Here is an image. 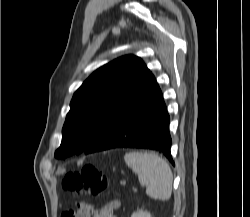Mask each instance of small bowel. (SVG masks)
<instances>
[{
    "label": "small bowel",
    "mask_w": 250,
    "mask_h": 217,
    "mask_svg": "<svg viewBox=\"0 0 250 217\" xmlns=\"http://www.w3.org/2000/svg\"><path fill=\"white\" fill-rule=\"evenodd\" d=\"M120 207V202L114 200L108 205L103 206L99 209L98 213L93 214V217H116L114 211ZM70 217H82L78 212H73Z\"/></svg>",
    "instance_id": "obj_1"
}]
</instances>
